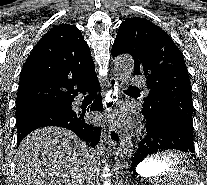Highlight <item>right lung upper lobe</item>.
Segmentation results:
<instances>
[{
    "label": "right lung upper lobe",
    "instance_id": "cb5924a9",
    "mask_svg": "<svg viewBox=\"0 0 207 185\" xmlns=\"http://www.w3.org/2000/svg\"><path fill=\"white\" fill-rule=\"evenodd\" d=\"M94 79L95 65L80 30L72 24L55 26L22 68L16 111L65 103L76 88Z\"/></svg>",
    "mask_w": 207,
    "mask_h": 185
}]
</instances>
